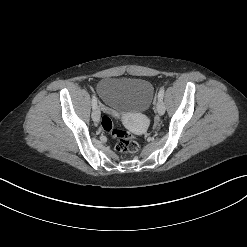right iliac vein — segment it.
Listing matches in <instances>:
<instances>
[{
  "label": "right iliac vein",
  "mask_w": 247,
  "mask_h": 247,
  "mask_svg": "<svg viewBox=\"0 0 247 247\" xmlns=\"http://www.w3.org/2000/svg\"><path fill=\"white\" fill-rule=\"evenodd\" d=\"M92 118L95 122H98L100 120V110L98 107L93 109Z\"/></svg>",
  "instance_id": "1"
}]
</instances>
